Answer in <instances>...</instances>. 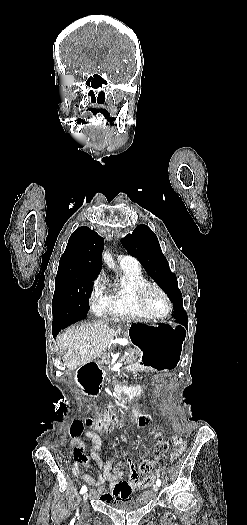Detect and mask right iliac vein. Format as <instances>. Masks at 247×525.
<instances>
[{
    "mask_svg": "<svg viewBox=\"0 0 247 525\" xmlns=\"http://www.w3.org/2000/svg\"><path fill=\"white\" fill-rule=\"evenodd\" d=\"M88 496H89V494H88V493H85V494L83 495V499H87Z\"/></svg>",
    "mask_w": 247,
    "mask_h": 525,
    "instance_id": "1",
    "label": "right iliac vein"
}]
</instances>
